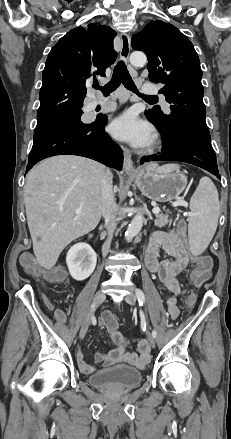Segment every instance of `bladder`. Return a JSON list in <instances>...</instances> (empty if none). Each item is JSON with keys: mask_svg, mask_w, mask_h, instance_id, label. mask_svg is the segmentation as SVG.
I'll return each instance as SVG.
<instances>
[{"mask_svg": "<svg viewBox=\"0 0 231 439\" xmlns=\"http://www.w3.org/2000/svg\"><path fill=\"white\" fill-rule=\"evenodd\" d=\"M142 380L141 371L125 365L98 371L87 378L91 386L117 391L134 389L141 384Z\"/></svg>", "mask_w": 231, "mask_h": 439, "instance_id": "obj_1", "label": "bladder"}]
</instances>
